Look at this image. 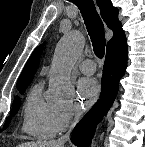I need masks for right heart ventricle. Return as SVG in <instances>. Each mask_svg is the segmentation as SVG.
I'll return each mask as SVG.
<instances>
[{
  "label": "right heart ventricle",
  "instance_id": "e07e8e85",
  "mask_svg": "<svg viewBox=\"0 0 145 147\" xmlns=\"http://www.w3.org/2000/svg\"><path fill=\"white\" fill-rule=\"evenodd\" d=\"M41 83L34 85L23 105L22 131L30 137L48 139L55 135L57 108L45 99Z\"/></svg>",
  "mask_w": 145,
  "mask_h": 147
}]
</instances>
